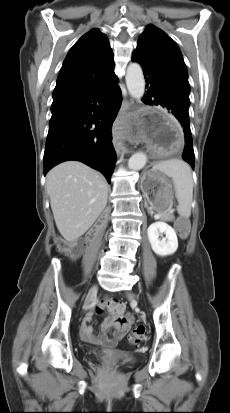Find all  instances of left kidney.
<instances>
[{
    "label": "left kidney",
    "instance_id": "5707ae66",
    "mask_svg": "<svg viewBox=\"0 0 230 413\" xmlns=\"http://www.w3.org/2000/svg\"><path fill=\"white\" fill-rule=\"evenodd\" d=\"M165 234L163 240L159 236ZM148 239L152 250L159 256H168L176 252L178 248V239L175 230L167 223L158 221L151 224L147 230Z\"/></svg>",
    "mask_w": 230,
    "mask_h": 413
}]
</instances>
